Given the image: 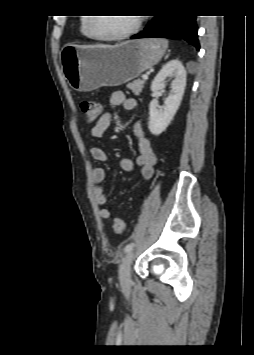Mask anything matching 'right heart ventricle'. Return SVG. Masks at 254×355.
I'll list each match as a JSON object with an SVG mask.
<instances>
[{
	"mask_svg": "<svg viewBox=\"0 0 254 355\" xmlns=\"http://www.w3.org/2000/svg\"><path fill=\"white\" fill-rule=\"evenodd\" d=\"M87 22H88V17H86V16L81 17L80 31L85 38L92 40L93 38L91 37V35L88 31V28H87Z\"/></svg>",
	"mask_w": 254,
	"mask_h": 355,
	"instance_id": "right-heart-ventricle-1",
	"label": "right heart ventricle"
}]
</instances>
